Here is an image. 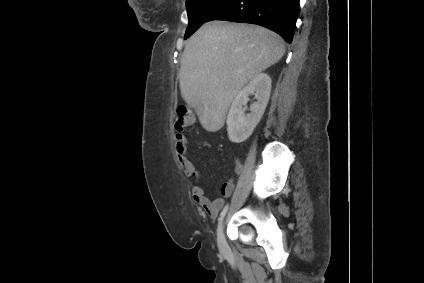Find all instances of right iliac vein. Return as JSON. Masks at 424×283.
Instances as JSON below:
<instances>
[{
    "label": "right iliac vein",
    "instance_id": "obj_1",
    "mask_svg": "<svg viewBox=\"0 0 424 283\" xmlns=\"http://www.w3.org/2000/svg\"><path fill=\"white\" fill-rule=\"evenodd\" d=\"M223 228H224L223 222H220L217 229V243H218L219 250L222 253H226L228 251V244L224 236Z\"/></svg>",
    "mask_w": 424,
    "mask_h": 283
}]
</instances>
